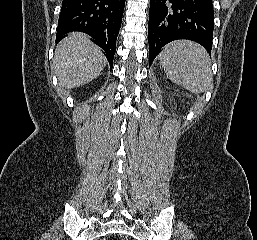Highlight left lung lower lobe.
Here are the masks:
<instances>
[{
    "instance_id": "0a47b994",
    "label": "left lung lower lobe",
    "mask_w": 257,
    "mask_h": 240,
    "mask_svg": "<svg viewBox=\"0 0 257 240\" xmlns=\"http://www.w3.org/2000/svg\"><path fill=\"white\" fill-rule=\"evenodd\" d=\"M213 29L212 0H150L149 67L161 48L174 40H192L211 54Z\"/></svg>"
}]
</instances>
